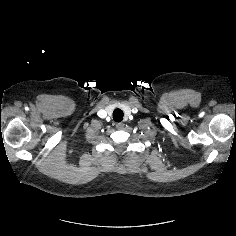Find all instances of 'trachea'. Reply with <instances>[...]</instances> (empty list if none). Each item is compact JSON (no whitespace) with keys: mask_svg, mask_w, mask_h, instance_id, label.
Wrapping results in <instances>:
<instances>
[{"mask_svg":"<svg viewBox=\"0 0 236 236\" xmlns=\"http://www.w3.org/2000/svg\"><path fill=\"white\" fill-rule=\"evenodd\" d=\"M113 119L116 122H121L123 119V111L121 109H115L113 111Z\"/></svg>","mask_w":236,"mask_h":236,"instance_id":"1","label":"trachea"}]
</instances>
